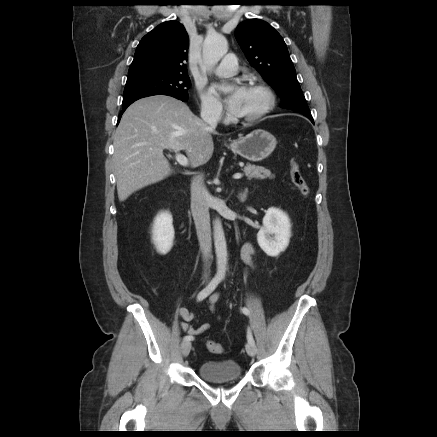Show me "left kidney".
<instances>
[{
    "instance_id": "1",
    "label": "left kidney",
    "mask_w": 437,
    "mask_h": 437,
    "mask_svg": "<svg viewBox=\"0 0 437 437\" xmlns=\"http://www.w3.org/2000/svg\"><path fill=\"white\" fill-rule=\"evenodd\" d=\"M291 237V223L285 212L269 208L263 218V226L257 234L260 248L271 257L283 252Z\"/></svg>"
}]
</instances>
